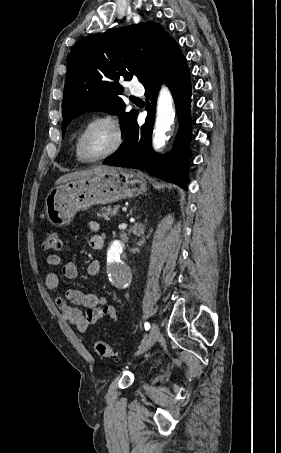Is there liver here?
Here are the masks:
<instances>
[{
  "instance_id": "obj_1",
  "label": "liver",
  "mask_w": 281,
  "mask_h": 453,
  "mask_svg": "<svg viewBox=\"0 0 281 453\" xmlns=\"http://www.w3.org/2000/svg\"><path fill=\"white\" fill-rule=\"evenodd\" d=\"M106 170H115L114 166H94L90 170H77V172H68V174H63L59 176L55 184H61V182H68V180H76V178H86V176H92V174H99V172H106Z\"/></svg>"
}]
</instances>
